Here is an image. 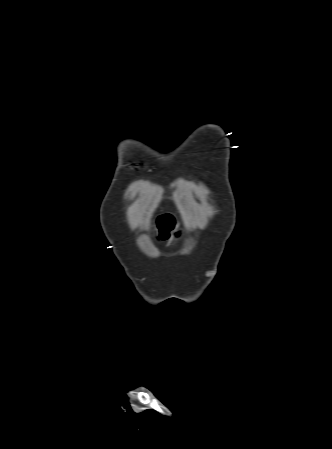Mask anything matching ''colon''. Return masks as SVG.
I'll list each match as a JSON object with an SVG mask.
<instances>
[{
    "instance_id": "colon-1",
    "label": "colon",
    "mask_w": 332,
    "mask_h": 449,
    "mask_svg": "<svg viewBox=\"0 0 332 449\" xmlns=\"http://www.w3.org/2000/svg\"><path fill=\"white\" fill-rule=\"evenodd\" d=\"M162 228L160 230V238L167 239L171 235L172 230V217L170 215L162 216Z\"/></svg>"
}]
</instances>
